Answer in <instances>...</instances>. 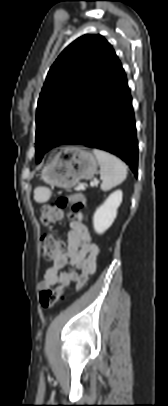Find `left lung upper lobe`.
<instances>
[{"label":"left lung upper lobe","instance_id":"1","mask_svg":"<svg viewBox=\"0 0 168 406\" xmlns=\"http://www.w3.org/2000/svg\"><path fill=\"white\" fill-rule=\"evenodd\" d=\"M121 63L101 35L72 42L51 66L36 116V159L64 144L83 126Z\"/></svg>","mask_w":168,"mask_h":406}]
</instances>
